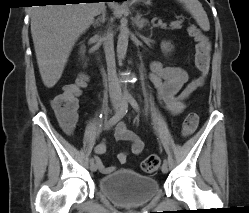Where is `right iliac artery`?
<instances>
[{"label": "right iliac artery", "instance_id": "1", "mask_svg": "<svg viewBox=\"0 0 249 213\" xmlns=\"http://www.w3.org/2000/svg\"><path fill=\"white\" fill-rule=\"evenodd\" d=\"M127 111H128V102L127 100H123L120 110L108 120L106 128H110L113 125H115L118 121H120L126 115ZM90 163H94L93 158L90 159Z\"/></svg>", "mask_w": 249, "mask_h": 213}]
</instances>
